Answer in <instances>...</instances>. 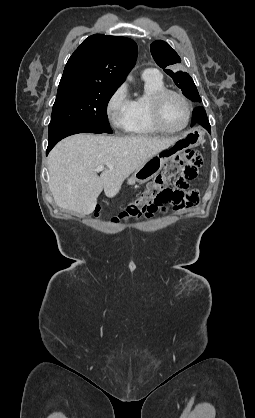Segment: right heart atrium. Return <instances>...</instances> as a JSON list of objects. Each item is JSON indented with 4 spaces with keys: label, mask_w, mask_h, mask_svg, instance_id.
Listing matches in <instances>:
<instances>
[{
    "label": "right heart atrium",
    "mask_w": 255,
    "mask_h": 418,
    "mask_svg": "<svg viewBox=\"0 0 255 418\" xmlns=\"http://www.w3.org/2000/svg\"><path fill=\"white\" fill-rule=\"evenodd\" d=\"M132 114V100L125 85H120L109 97L106 115L110 124L117 130H128Z\"/></svg>",
    "instance_id": "1"
}]
</instances>
